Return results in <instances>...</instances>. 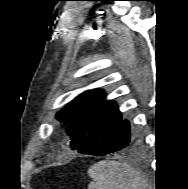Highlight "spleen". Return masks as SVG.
<instances>
[{
    "label": "spleen",
    "mask_w": 188,
    "mask_h": 189,
    "mask_svg": "<svg viewBox=\"0 0 188 189\" xmlns=\"http://www.w3.org/2000/svg\"><path fill=\"white\" fill-rule=\"evenodd\" d=\"M92 182L88 189H143L140 174L128 164L117 161H100L88 170Z\"/></svg>",
    "instance_id": "obj_1"
}]
</instances>
